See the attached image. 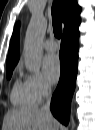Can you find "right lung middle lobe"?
<instances>
[{
	"label": "right lung middle lobe",
	"instance_id": "dd1d6c3e",
	"mask_svg": "<svg viewBox=\"0 0 95 130\" xmlns=\"http://www.w3.org/2000/svg\"><path fill=\"white\" fill-rule=\"evenodd\" d=\"M12 71H13V69L6 70L8 79H10V77L12 75Z\"/></svg>",
	"mask_w": 95,
	"mask_h": 130
}]
</instances>
